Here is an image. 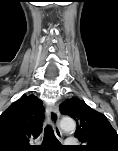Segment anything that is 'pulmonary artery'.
I'll return each instance as SVG.
<instances>
[{"mask_svg":"<svg viewBox=\"0 0 118 151\" xmlns=\"http://www.w3.org/2000/svg\"><path fill=\"white\" fill-rule=\"evenodd\" d=\"M66 144L68 145H74L77 143L76 139L74 138H68L66 141H65Z\"/></svg>","mask_w":118,"mask_h":151,"instance_id":"e3ab8cb5","label":"pulmonary artery"}]
</instances>
